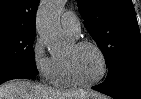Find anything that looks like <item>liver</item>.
<instances>
[{"label":"liver","instance_id":"liver-1","mask_svg":"<svg viewBox=\"0 0 141 99\" xmlns=\"http://www.w3.org/2000/svg\"><path fill=\"white\" fill-rule=\"evenodd\" d=\"M0 99H105L94 91H60L30 80H12L0 86Z\"/></svg>","mask_w":141,"mask_h":99}]
</instances>
